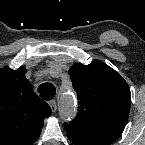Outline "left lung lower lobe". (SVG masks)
<instances>
[{
    "label": "left lung lower lobe",
    "instance_id": "1",
    "mask_svg": "<svg viewBox=\"0 0 145 145\" xmlns=\"http://www.w3.org/2000/svg\"><path fill=\"white\" fill-rule=\"evenodd\" d=\"M69 139L75 145H110L124 130L123 126L64 124Z\"/></svg>",
    "mask_w": 145,
    "mask_h": 145
}]
</instances>
